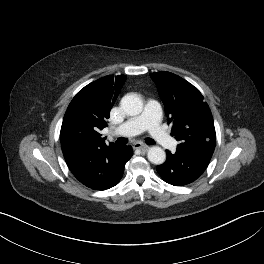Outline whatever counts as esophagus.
<instances>
[{"label": "esophagus", "mask_w": 264, "mask_h": 264, "mask_svg": "<svg viewBox=\"0 0 264 264\" xmlns=\"http://www.w3.org/2000/svg\"><path fill=\"white\" fill-rule=\"evenodd\" d=\"M134 149H140L142 151H147L149 149V146L140 142H137L133 145Z\"/></svg>", "instance_id": "1"}]
</instances>
